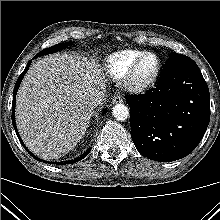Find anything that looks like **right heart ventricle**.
<instances>
[{
  "label": "right heart ventricle",
  "mask_w": 220,
  "mask_h": 220,
  "mask_svg": "<svg viewBox=\"0 0 220 220\" xmlns=\"http://www.w3.org/2000/svg\"><path fill=\"white\" fill-rule=\"evenodd\" d=\"M145 52L138 49H126L109 55L104 62L106 74L113 79L123 78L134 61Z\"/></svg>",
  "instance_id": "1"
}]
</instances>
